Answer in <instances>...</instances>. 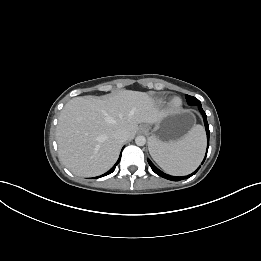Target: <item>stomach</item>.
<instances>
[{"label": "stomach", "mask_w": 261, "mask_h": 261, "mask_svg": "<svg viewBox=\"0 0 261 261\" xmlns=\"http://www.w3.org/2000/svg\"><path fill=\"white\" fill-rule=\"evenodd\" d=\"M195 125V116L188 110L169 112L153 126L145 125L141 129L151 131L154 141L163 143L174 142L184 137Z\"/></svg>", "instance_id": "1"}]
</instances>
